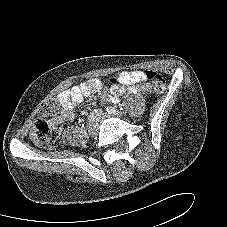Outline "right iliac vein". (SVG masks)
<instances>
[{
	"label": "right iliac vein",
	"instance_id": "1",
	"mask_svg": "<svg viewBox=\"0 0 227 227\" xmlns=\"http://www.w3.org/2000/svg\"><path fill=\"white\" fill-rule=\"evenodd\" d=\"M87 130L90 136H95L98 132V123L95 121H91L87 125Z\"/></svg>",
	"mask_w": 227,
	"mask_h": 227
}]
</instances>
